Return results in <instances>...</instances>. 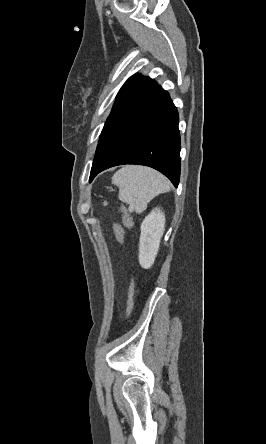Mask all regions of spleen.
Returning a JSON list of instances; mask_svg holds the SVG:
<instances>
[{
  "label": "spleen",
  "instance_id": "spleen-1",
  "mask_svg": "<svg viewBox=\"0 0 266 444\" xmlns=\"http://www.w3.org/2000/svg\"><path fill=\"white\" fill-rule=\"evenodd\" d=\"M112 183L119 187V199L129 205L130 212L142 213L148 203L158 194L170 190L165 176L148 167L125 166L112 177Z\"/></svg>",
  "mask_w": 266,
  "mask_h": 444
}]
</instances>
